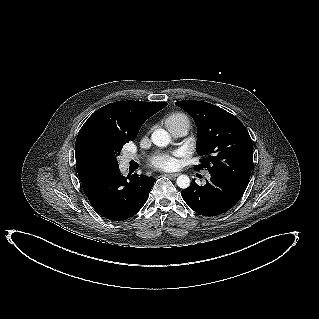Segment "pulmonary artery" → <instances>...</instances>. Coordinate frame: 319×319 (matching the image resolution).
I'll use <instances>...</instances> for the list:
<instances>
[{"label": "pulmonary artery", "mask_w": 319, "mask_h": 319, "mask_svg": "<svg viewBox=\"0 0 319 319\" xmlns=\"http://www.w3.org/2000/svg\"><path fill=\"white\" fill-rule=\"evenodd\" d=\"M168 129L174 138H182L188 132V127L184 124H181V123H175V124L168 125ZM135 158L136 157L132 154H128L125 156L126 161H130V160L135 159ZM209 177H210V175H207V178H209Z\"/></svg>", "instance_id": "e3ab8cb5"}]
</instances>
